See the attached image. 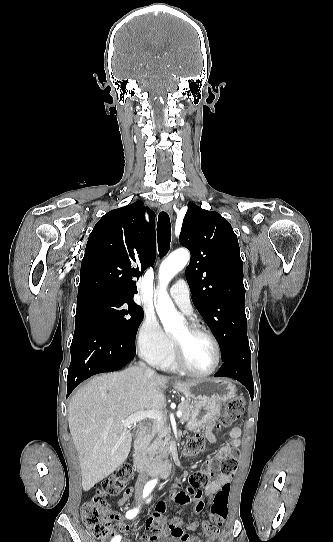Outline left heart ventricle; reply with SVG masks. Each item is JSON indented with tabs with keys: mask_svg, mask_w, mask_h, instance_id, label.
I'll return each instance as SVG.
<instances>
[{
	"mask_svg": "<svg viewBox=\"0 0 333 542\" xmlns=\"http://www.w3.org/2000/svg\"><path fill=\"white\" fill-rule=\"evenodd\" d=\"M170 338L180 346L183 358L190 369L204 372L214 365V345L206 336L191 333L187 326Z\"/></svg>",
	"mask_w": 333,
	"mask_h": 542,
	"instance_id": "b2bd125f",
	"label": "left heart ventricle"
}]
</instances>
